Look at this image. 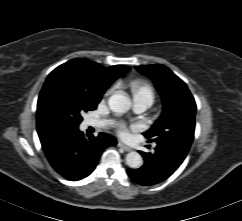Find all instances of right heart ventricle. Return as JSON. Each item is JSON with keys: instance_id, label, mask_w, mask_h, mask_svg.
<instances>
[{"instance_id": "obj_1", "label": "right heart ventricle", "mask_w": 242, "mask_h": 221, "mask_svg": "<svg viewBox=\"0 0 242 221\" xmlns=\"http://www.w3.org/2000/svg\"><path fill=\"white\" fill-rule=\"evenodd\" d=\"M131 90L133 98H146L151 101L154 100V91L150 84L143 80H135L131 83Z\"/></svg>"}]
</instances>
